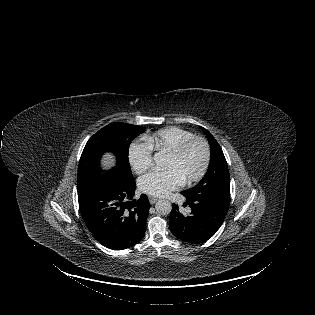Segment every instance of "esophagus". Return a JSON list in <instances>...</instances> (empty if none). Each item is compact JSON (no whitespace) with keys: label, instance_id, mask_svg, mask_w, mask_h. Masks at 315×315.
Masks as SVG:
<instances>
[{"label":"esophagus","instance_id":"obj_1","mask_svg":"<svg viewBox=\"0 0 315 315\" xmlns=\"http://www.w3.org/2000/svg\"><path fill=\"white\" fill-rule=\"evenodd\" d=\"M157 201V199L155 197H149V202L150 204H154Z\"/></svg>","mask_w":315,"mask_h":315}]
</instances>
